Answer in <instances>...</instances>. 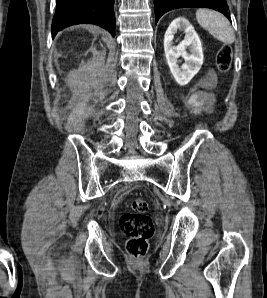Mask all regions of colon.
Returning <instances> with one entry per match:
<instances>
[{
  "label": "colon",
  "mask_w": 267,
  "mask_h": 298,
  "mask_svg": "<svg viewBox=\"0 0 267 298\" xmlns=\"http://www.w3.org/2000/svg\"><path fill=\"white\" fill-rule=\"evenodd\" d=\"M217 66L222 73L230 70L232 51L227 45L221 47L217 54ZM148 204L143 199H134L131 209L124 212L119 219L121 231L128 237L126 249L135 259L142 258L148 249L149 240L154 235V224L147 215Z\"/></svg>",
  "instance_id": "colon-1"
}]
</instances>
